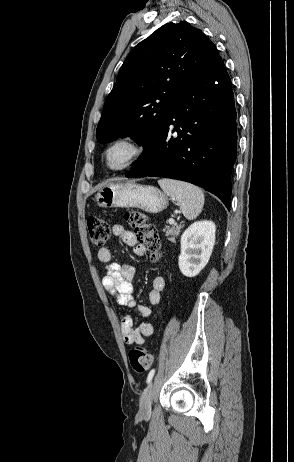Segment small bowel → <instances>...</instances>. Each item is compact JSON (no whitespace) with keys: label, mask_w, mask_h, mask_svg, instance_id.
I'll return each instance as SVG.
<instances>
[{"label":"small bowel","mask_w":294,"mask_h":462,"mask_svg":"<svg viewBox=\"0 0 294 462\" xmlns=\"http://www.w3.org/2000/svg\"><path fill=\"white\" fill-rule=\"evenodd\" d=\"M114 234L118 236L125 245L132 247L137 256L146 254V250L140 246L133 232L126 230L121 225H115ZM98 260L105 265V275L102 279L103 287L109 292L121 306L128 308L136 307L140 314L147 317L151 309L145 305H138L134 292L133 280L136 274L134 266L119 264L112 260V253L108 248H100L97 252ZM164 277L156 276L152 281V288L147 295L148 302L156 305L160 302L161 293L165 289ZM121 333L125 343L142 345L145 339L154 333V326L151 323H142L134 327L133 318L125 314L121 320Z\"/></svg>","instance_id":"c3829d8e"}]
</instances>
